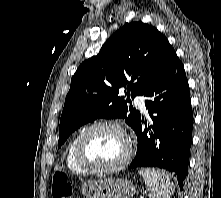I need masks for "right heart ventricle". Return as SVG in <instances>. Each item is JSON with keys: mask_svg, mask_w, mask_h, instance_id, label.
<instances>
[{"mask_svg": "<svg viewBox=\"0 0 221 198\" xmlns=\"http://www.w3.org/2000/svg\"><path fill=\"white\" fill-rule=\"evenodd\" d=\"M79 133L74 135L72 139L69 141L66 150H65V163L69 170L74 173H86L84 169H82L76 162L74 156V145L75 141L78 137Z\"/></svg>", "mask_w": 221, "mask_h": 198, "instance_id": "e07e8e85", "label": "right heart ventricle"}]
</instances>
